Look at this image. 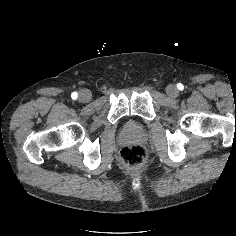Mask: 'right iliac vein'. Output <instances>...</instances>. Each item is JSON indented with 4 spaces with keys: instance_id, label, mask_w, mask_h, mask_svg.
<instances>
[{
    "instance_id": "63e3f726",
    "label": "right iliac vein",
    "mask_w": 236,
    "mask_h": 236,
    "mask_svg": "<svg viewBox=\"0 0 236 236\" xmlns=\"http://www.w3.org/2000/svg\"><path fill=\"white\" fill-rule=\"evenodd\" d=\"M91 97H92V95H91L90 91L84 89L79 92L78 100L81 103H88L91 100Z\"/></svg>"
}]
</instances>
